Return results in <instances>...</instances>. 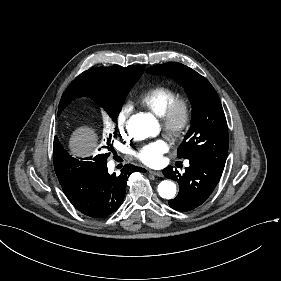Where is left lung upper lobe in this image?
<instances>
[{"label":"left lung upper lobe","instance_id":"1","mask_svg":"<svg viewBox=\"0 0 281 281\" xmlns=\"http://www.w3.org/2000/svg\"><path fill=\"white\" fill-rule=\"evenodd\" d=\"M149 74L166 75L184 86L192 105V124L177 156L201 159L224 169L228 154V128L225 114L213 86L193 69L176 62L147 68Z\"/></svg>","mask_w":281,"mask_h":281}]
</instances>
